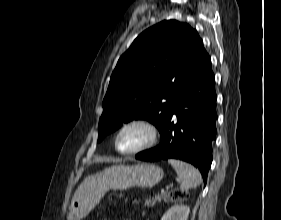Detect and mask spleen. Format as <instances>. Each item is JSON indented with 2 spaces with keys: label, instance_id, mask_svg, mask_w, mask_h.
I'll return each instance as SVG.
<instances>
[{
  "label": "spleen",
  "instance_id": "obj_1",
  "mask_svg": "<svg viewBox=\"0 0 281 220\" xmlns=\"http://www.w3.org/2000/svg\"><path fill=\"white\" fill-rule=\"evenodd\" d=\"M168 162L175 169L179 179L181 180L180 188L182 190L186 191L201 184V174L195 167L176 159H169Z\"/></svg>",
  "mask_w": 281,
  "mask_h": 220
}]
</instances>
